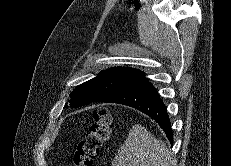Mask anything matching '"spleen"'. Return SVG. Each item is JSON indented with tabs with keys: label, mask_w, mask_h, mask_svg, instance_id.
<instances>
[{
	"label": "spleen",
	"mask_w": 231,
	"mask_h": 166,
	"mask_svg": "<svg viewBox=\"0 0 231 166\" xmlns=\"http://www.w3.org/2000/svg\"><path fill=\"white\" fill-rule=\"evenodd\" d=\"M171 161L163 141L155 139L141 125H133L112 166H171Z\"/></svg>",
	"instance_id": "3e777b00"
}]
</instances>
